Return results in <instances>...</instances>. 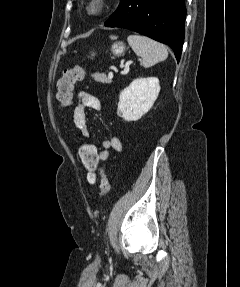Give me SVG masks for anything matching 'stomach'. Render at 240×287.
I'll return each mask as SVG.
<instances>
[{
    "mask_svg": "<svg viewBox=\"0 0 240 287\" xmlns=\"http://www.w3.org/2000/svg\"><path fill=\"white\" fill-rule=\"evenodd\" d=\"M111 39H115L114 36H111ZM111 51L113 53V55L115 56H121L124 54L125 52V44L121 41H117L115 43H113L112 47H111ZM95 54H92L91 57H93Z\"/></svg>",
    "mask_w": 240,
    "mask_h": 287,
    "instance_id": "1",
    "label": "stomach"
}]
</instances>
